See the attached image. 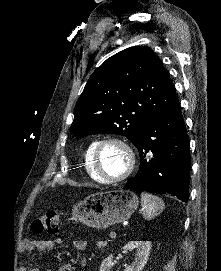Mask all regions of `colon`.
Wrapping results in <instances>:
<instances>
[{"label":"colon","mask_w":221,"mask_h":271,"mask_svg":"<svg viewBox=\"0 0 221 271\" xmlns=\"http://www.w3.org/2000/svg\"><path fill=\"white\" fill-rule=\"evenodd\" d=\"M58 213L55 211L42 212L32 224V231L40 234L43 231L55 232L58 227Z\"/></svg>","instance_id":"colon-1"}]
</instances>
